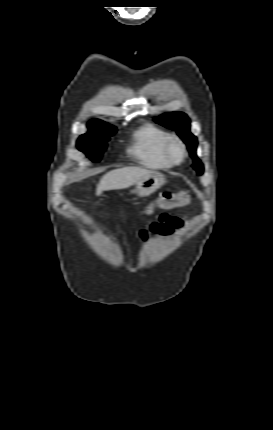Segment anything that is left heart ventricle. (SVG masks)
Wrapping results in <instances>:
<instances>
[{
	"instance_id": "left-heart-ventricle-1",
	"label": "left heart ventricle",
	"mask_w": 273,
	"mask_h": 430,
	"mask_svg": "<svg viewBox=\"0 0 273 430\" xmlns=\"http://www.w3.org/2000/svg\"><path fill=\"white\" fill-rule=\"evenodd\" d=\"M172 152H173V155H174L175 157H178V156H179L180 151H179L178 147H176V146H175V147H173Z\"/></svg>"
}]
</instances>
